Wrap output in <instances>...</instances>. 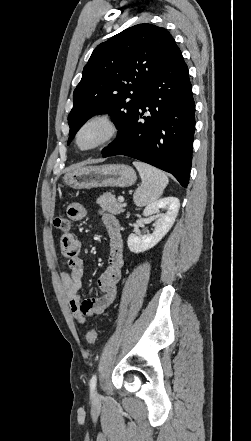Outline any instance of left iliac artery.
<instances>
[{
  "instance_id": "44dca946",
  "label": "left iliac artery",
  "mask_w": 251,
  "mask_h": 441,
  "mask_svg": "<svg viewBox=\"0 0 251 441\" xmlns=\"http://www.w3.org/2000/svg\"><path fill=\"white\" fill-rule=\"evenodd\" d=\"M96 382H97V376H96V374H94V375L92 376V378L90 379V391H91V392H94V391H95V388H96Z\"/></svg>"
}]
</instances>
